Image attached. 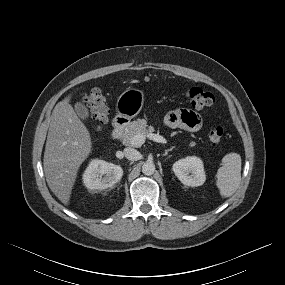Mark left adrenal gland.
I'll list each match as a JSON object with an SVG mask.
<instances>
[{
    "mask_svg": "<svg viewBox=\"0 0 285 285\" xmlns=\"http://www.w3.org/2000/svg\"><path fill=\"white\" fill-rule=\"evenodd\" d=\"M174 148H175V147L173 146V147H171L170 149H167V150L165 151V153L163 154V156H166V155L168 154V152H169V151H172Z\"/></svg>",
    "mask_w": 285,
    "mask_h": 285,
    "instance_id": "left-adrenal-gland-1",
    "label": "left adrenal gland"
}]
</instances>
